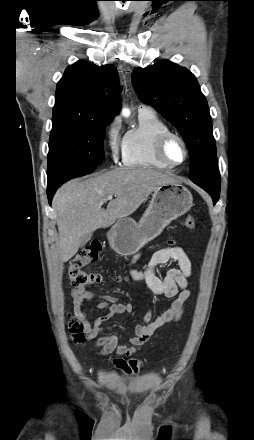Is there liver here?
<instances>
[{
    "label": "liver",
    "instance_id": "6515ba94",
    "mask_svg": "<svg viewBox=\"0 0 254 440\" xmlns=\"http://www.w3.org/2000/svg\"><path fill=\"white\" fill-rule=\"evenodd\" d=\"M176 182L171 175L154 169L119 168L62 185L53 198L62 261H68L77 253L86 233L107 228L131 215L158 186ZM108 195L116 198L103 209Z\"/></svg>",
    "mask_w": 254,
    "mask_h": 440
}]
</instances>
